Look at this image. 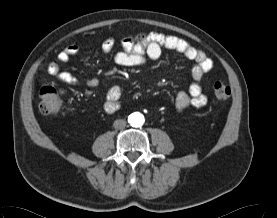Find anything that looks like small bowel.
Segmentation results:
<instances>
[{
	"label": "small bowel",
	"mask_w": 277,
	"mask_h": 218,
	"mask_svg": "<svg viewBox=\"0 0 277 218\" xmlns=\"http://www.w3.org/2000/svg\"><path fill=\"white\" fill-rule=\"evenodd\" d=\"M112 47V42L106 41L103 44V51L109 53ZM164 47L175 50L183 54L187 59L196 62L192 71L193 82L187 92H180L177 95V103L180 106L206 104L207 99L202 93L200 81L203 74L212 68V61L203 52L180 37L153 33L149 36L148 43L145 45H133L131 42L125 41L123 42V50L116 54V61L122 66H140L148 61L157 60L161 56ZM78 51L79 48L76 45H69L62 49L57 54L56 59L49 63L47 67L48 73L58 77L65 83L72 82V75L63 71L62 65L67 63ZM88 84L91 87H95L99 84V79L92 77L89 79ZM119 95L120 91L117 87L111 89L109 92L110 101H115Z\"/></svg>",
	"instance_id": "1"
}]
</instances>
